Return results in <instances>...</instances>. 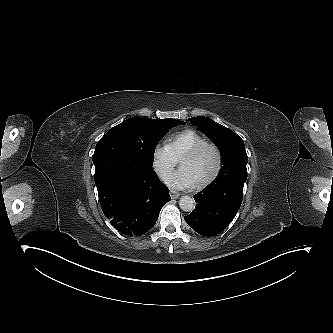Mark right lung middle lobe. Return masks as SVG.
<instances>
[{
	"label": "right lung middle lobe",
	"instance_id": "1",
	"mask_svg": "<svg viewBox=\"0 0 333 333\" xmlns=\"http://www.w3.org/2000/svg\"><path fill=\"white\" fill-rule=\"evenodd\" d=\"M180 124L184 122L175 119L131 117L111 128L103 137L119 140L145 165L152 167L157 142L169 129Z\"/></svg>",
	"mask_w": 333,
	"mask_h": 333
}]
</instances>
